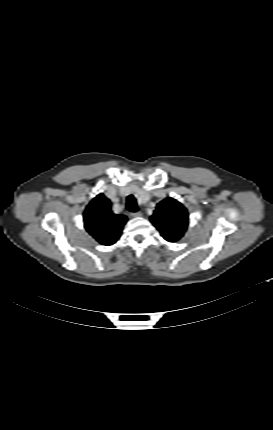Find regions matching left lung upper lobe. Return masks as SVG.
Masks as SVG:
<instances>
[{
    "instance_id": "5c2ea615",
    "label": "left lung upper lobe",
    "mask_w": 273,
    "mask_h": 430,
    "mask_svg": "<svg viewBox=\"0 0 273 430\" xmlns=\"http://www.w3.org/2000/svg\"><path fill=\"white\" fill-rule=\"evenodd\" d=\"M150 221L169 242L179 240L188 225V213L181 203L166 198L157 204Z\"/></svg>"
}]
</instances>
